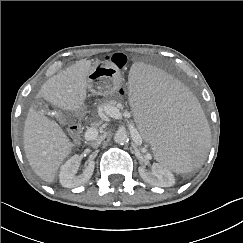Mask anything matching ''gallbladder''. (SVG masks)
Segmentation results:
<instances>
[{
	"label": "gallbladder",
	"instance_id": "gallbladder-1",
	"mask_svg": "<svg viewBox=\"0 0 243 243\" xmlns=\"http://www.w3.org/2000/svg\"><path fill=\"white\" fill-rule=\"evenodd\" d=\"M34 108H35V110L38 113L46 114V116H47L48 110L53 109L56 112V116L52 120H58L63 125L66 124V116H65V114H63L62 112L58 111L55 107H53V105L51 103H44V102H41V101H36L34 103Z\"/></svg>",
	"mask_w": 243,
	"mask_h": 243
}]
</instances>
